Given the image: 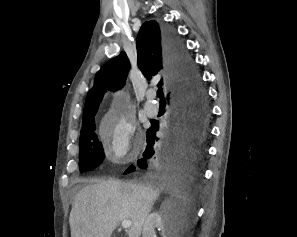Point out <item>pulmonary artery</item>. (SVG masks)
Returning a JSON list of instances; mask_svg holds the SVG:
<instances>
[{
	"instance_id": "1",
	"label": "pulmonary artery",
	"mask_w": 297,
	"mask_h": 237,
	"mask_svg": "<svg viewBox=\"0 0 297 237\" xmlns=\"http://www.w3.org/2000/svg\"><path fill=\"white\" fill-rule=\"evenodd\" d=\"M145 111L147 112L148 115L154 116L158 113V106L152 101L148 100L145 104Z\"/></svg>"
}]
</instances>
